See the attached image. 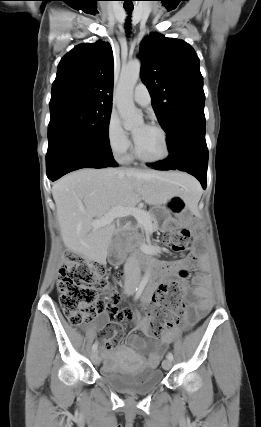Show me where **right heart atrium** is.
<instances>
[{
    "mask_svg": "<svg viewBox=\"0 0 261 427\" xmlns=\"http://www.w3.org/2000/svg\"><path fill=\"white\" fill-rule=\"evenodd\" d=\"M106 139L110 151L119 159H127L131 150L128 133L123 129L119 118L111 114L106 126Z\"/></svg>",
    "mask_w": 261,
    "mask_h": 427,
    "instance_id": "obj_1",
    "label": "right heart atrium"
}]
</instances>
